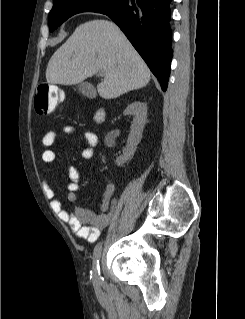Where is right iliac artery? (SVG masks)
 Wrapping results in <instances>:
<instances>
[{"label": "right iliac artery", "mask_w": 245, "mask_h": 319, "mask_svg": "<svg viewBox=\"0 0 245 319\" xmlns=\"http://www.w3.org/2000/svg\"><path fill=\"white\" fill-rule=\"evenodd\" d=\"M102 244L98 243L94 248L93 253V282L96 286L100 285L102 282V278L100 275V257H101Z\"/></svg>", "instance_id": "obj_1"}]
</instances>
